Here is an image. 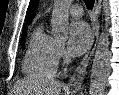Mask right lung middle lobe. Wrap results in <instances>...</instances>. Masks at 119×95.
Segmentation results:
<instances>
[{
  "label": "right lung middle lobe",
  "instance_id": "1",
  "mask_svg": "<svg viewBox=\"0 0 119 95\" xmlns=\"http://www.w3.org/2000/svg\"><path fill=\"white\" fill-rule=\"evenodd\" d=\"M26 37V32H23L22 33V37H21V45L23 46L24 45V39Z\"/></svg>",
  "mask_w": 119,
  "mask_h": 95
}]
</instances>
